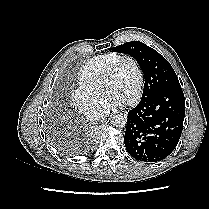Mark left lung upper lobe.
Returning a JSON list of instances; mask_svg holds the SVG:
<instances>
[{
  "instance_id": "5c2ea615",
  "label": "left lung upper lobe",
  "mask_w": 209,
  "mask_h": 209,
  "mask_svg": "<svg viewBox=\"0 0 209 209\" xmlns=\"http://www.w3.org/2000/svg\"><path fill=\"white\" fill-rule=\"evenodd\" d=\"M110 50L129 54L137 60L145 79L142 97H147L163 87L179 84L170 63L156 50L142 42H126Z\"/></svg>"
}]
</instances>
